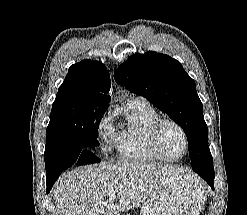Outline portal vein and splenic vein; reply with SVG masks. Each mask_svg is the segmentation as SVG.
<instances>
[{
	"label": "portal vein and splenic vein",
	"mask_w": 247,
	"mask_h": 215,
	"mask_svg": "<svg viewBox=\"0 0 247 215\" xmlns=\"http://www.w3.org/2000/svg\"><path fill=\"white\" fill-rule=\"evenodd\" d=\"M115 197H116L115 193L109 194V198H110L111 200L115 199Z\"/></svg>",
	"instance_id": "obj_1"
}]
</instances>
